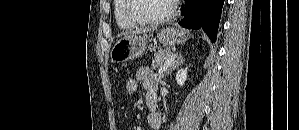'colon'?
<instances>
[{"label":"colon","mask_w":299,"mask_h":130,"mask_svg":"<svg viewBox=\"0 0 299 130\" xmlns=\"http://www.w3.org/2000/svg\"><path fill=\"white\" fill-rule=\"evenodd\" d=\"M139 88V82L138 79L135 76L129 77L125 82V91L127 95L132 96L134 95Z\"/></svg>","instance_id":"1"}]
</instances>
